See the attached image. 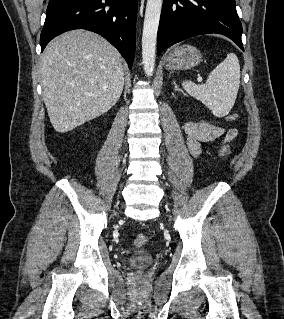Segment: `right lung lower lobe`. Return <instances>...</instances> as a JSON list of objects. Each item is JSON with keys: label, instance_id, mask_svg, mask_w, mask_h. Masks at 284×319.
<instances>
[{"label": "right lung lower lobe", "instance_id": "obj_1", "mask_svg": "<svg viewBox=\"0 0 284 319\" xmlns=\"http://www.w3.org/2000/svg\"><path fill=\"white\" fill-rule=\"evenodd\" d=\"M137 0H50L40 36L41 51L54 37L86 29L106 38L133 65Z\"/></svg>", "mask_w": 284, "mask_h": 319}]
</instances>
